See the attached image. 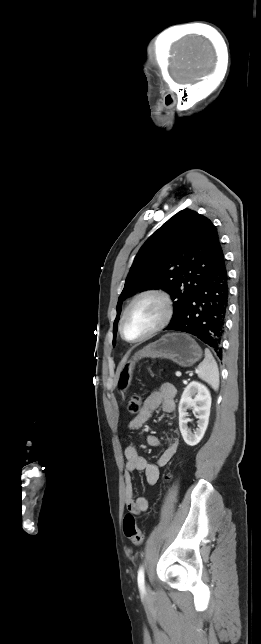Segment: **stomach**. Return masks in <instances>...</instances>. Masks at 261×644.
<instances>
[{"mask_svg": "<svg viewBox=\"0 0 261 644\" xmlns=\"http://www.w3.org/2000/svg\"><path fill=\"white\" fill-rule=\"evenodd\" d=\"M145 357L169 359L181 367H191L202 357V350L187 334L171 333L162 336L135 353L131 360L122 363L116 385L119 393L124 394L129 388L136 361Z\"/></svg>", "mask_w": 261, "mask_h": 644, "instance_id": "1", "label": "stomach"}]
</instances>
